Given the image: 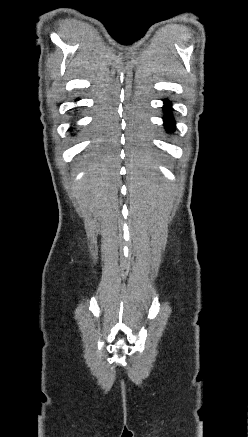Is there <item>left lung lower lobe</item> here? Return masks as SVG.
<instances>
[{
  "label": "left lung lower lobe",
  "instance_id": "0a47b994",
  "mask_svg": "<svg viewBox=\"0 0 248 437\" xmlns=\"http://www.w3.org/2000/svg\"><path fill=\"white\" fill-rule=\"evenodd\" d=\"M164 109H165L167 112H169V111L171 110L170 102L167 101V100H165V106H164ZM164 121H165V127H166V129H167L168 131L174 129V127H175V121H174L173 117H172L170 114L165 115V117H164Z\"/></svg>",
  "mask_w": 248,
  "mask_h": 437
}]
</instances>
